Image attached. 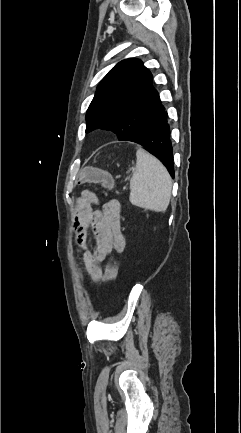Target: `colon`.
Listing matches in <instances>:
<instances>
[{"instance_id":"1","label":"colon","mask_w":241,"mask_h":433,"mask_svg":"<svg viewBox=\"0 0 241 433\" xmlns=\"http://www.w3.org/2000/svg\"><path fill=\"white\" fill-rule=\"evenodd\" d=\"M76 177L83 184H88L91 179H93L96 182L103 183L106 187L110 186L112 181L110 174L103 169L82 168ZM117 271L118 267L116 262H110L106 266L103 276H94L92 279L94 281L102 280L105 284H112L116 278Z\"/></svg>"}]
</instances>
